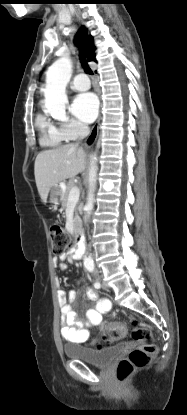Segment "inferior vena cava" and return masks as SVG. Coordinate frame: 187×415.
I'll list each match as a JSON object with an SVG mask.
<instances>
[{"mask_svg": "<svg viewBox=\"0 0 187 415\" xmlns=\"http://www.w3.org/2000/svg\"><path fill=\"white\" fill-rule=\"evenodd\" d=\"M90 132L88 125L80 123L78 127L79 138L84 139Z\"/></svg>", "mask_w": 187, "mask_h": 415, "instance_id": "602c4592", "label": "inferior vena cava"}]
</instances>
